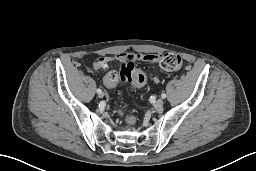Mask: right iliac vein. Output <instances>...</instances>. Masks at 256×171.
<instances>
[{"instance_id":"1","label":"right iliac vein","mask_w":256,"mask_h":171,"mask_svg":"<svg viewBox=\"0 0 256 171\" xmlns=\"http://www.w3.org/2000/svg\"><path fill=\"white\" fill-rule=\"evenodd\" d=\"M98 96H99L100 98H103V97H104V93H103V92L98 93Z\"/></svg>"}]
</instances>
